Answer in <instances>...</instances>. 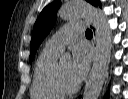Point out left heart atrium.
Listing matches in <instances>:
<instances>
[{
  "label": "left heart atrium",
  "mask_w": 128,
  "mask_h": 99,
  "mask_svg": "<svg viewBox=\"0 0 128 99\" xmlns=\"http://www.w3.org/2000/svg\"><path fill=\"white\" fill-rule=\"evenodd\" d=\"M89 69V56L82 49H75L70 65V72L76 83L81 82Z\"/></svg>",
  "instance_id": "39dd6f15"
}]
</instances>
